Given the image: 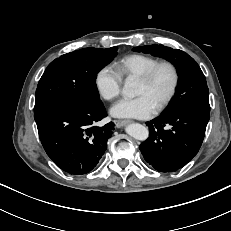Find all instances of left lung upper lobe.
Segmentation results:
<instances>
[{
    "label": "left lung upper lobe",
    "instance_id": "5c2ea615",
    "mask_svg": "<svg viewBox=\"0 0 231 231\" xmlns=\"http://www.w3.org/2000/svg\"><path fill=\"white\" fill-rule=\"evenodd\" d=\"M133 51L150 53L173 63L179 75L177 92L163 113L178 109H195L210 112L209 91L205 76L197 62L187 53L163 45L135 47Z\"/></svg>",
    "mask_w": 231,
    "mask_h": 231
}]
</instances>
